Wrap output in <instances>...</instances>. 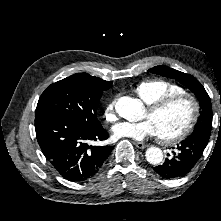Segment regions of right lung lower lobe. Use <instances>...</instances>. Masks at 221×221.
<instances>
[{
  "instance_id": "98d812e1",
  "label": "right lung lower lobe",
  "mask_w": 221,
  "mask_h": 221,
  "mask_svg": "<svg viewBox=\"0 0 221 221\" xmlns=\"http://www.w3.org/2000/svg\"><path fill=\"white\" fill-rule=\"evenodd\" d=\"M37 141L46 159L69 181H84L96 174L112 151V146H94L108 138L101 127L84 128L45 109L35 112Z\"/></svg>"
}]
</instances>
